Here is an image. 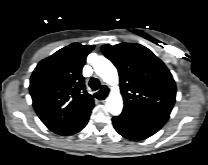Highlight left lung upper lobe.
I'll return each instance as SVG.
<instances>
[{"label":"left lung upper lobe","mask_w":208,"mask_h":165,"mask_svg":"<svg viewBox=\"0 0 208 165\" xmlns=\"http://www.w3.org/2000/svg\"><path fill=\"white\" fill-rule=\"evenodd\" d=\"M102 52L118 70L123 111L168 120L176 86L164 63L140 44L103 45Z\"/></svg>","instance_id":"5c2ea615"}]
</instances>
